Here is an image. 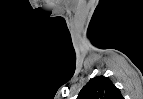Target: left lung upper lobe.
<instances>
[{"mask_svg": "<svg viewBox=\"0 0 143 99\" xmlns=\"http://www.w3.org/2000/svg\"><path fill=\"white\" fill-rule=\"evenodd\" d=\"M77 99H123V97L108 77L96 76L82 88Z\"/></svg>", "mask_w": 143, "mask_h": 99, "instance_id": "5c2ea615", "label": "left lung upper lobe"}]
</instances>
